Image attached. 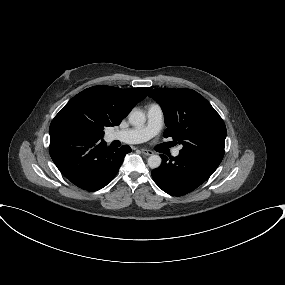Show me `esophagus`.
Here are the masks:
<instances>
[{
  "mask_svg": "<svg viewBox=\"0 0 285 285\" xmlns=\"http://www.w3.org/2000/svg\"><path fill=\"white\" fill-rule=\"evenodd\" d=\"M141 152L146 156H150L153 154L151 150H147V149H141Z\"/></svg>",
  "mask_w": 285,
  "mask_h": 285,
  "instance_id": "1",
  "label": "esophagus"
}]
</instances>
